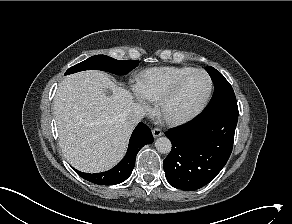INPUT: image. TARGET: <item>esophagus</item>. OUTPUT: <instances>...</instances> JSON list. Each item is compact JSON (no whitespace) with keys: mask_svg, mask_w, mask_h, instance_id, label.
I'll return each instance as SVG.
<instances>
[{"mask_svg":"<svg viewBox=\"0 0 292 224\" xmlns=\"http://www.w3.org/2000/svg\"><path fill=\"white\" fill-rule=\"evenodd\" d=\"M152 134H153V136H154L155 138H157V137L161 136V135L163 134V132H162V130L159 129V128H154V129L152 130Z\"/></svg>","mask_w":292,"mask_h":224,"instance_id":"1","label":"esophagus"}]
</instances>
